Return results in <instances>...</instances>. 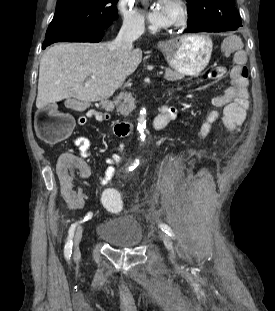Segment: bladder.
Instances as JSON below:
<instances>
[{"label": "bladder", "mask_w": 275, "mask_h": 311, "mask_svg": "<svg viewBox=\"0 0 275 311\" xmlns=\"http://www.w3.org/2000/svg\"><path fill=\"white\" fill-rule=\"evenodd\" d=\"M97 236L115 248L130 249L143 243V227L131 213H120L100 222Z\"/></svg>", "instance_id": "bladder-1"}]
</instances>
